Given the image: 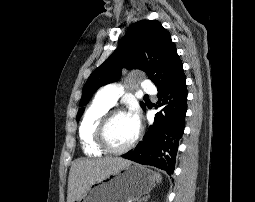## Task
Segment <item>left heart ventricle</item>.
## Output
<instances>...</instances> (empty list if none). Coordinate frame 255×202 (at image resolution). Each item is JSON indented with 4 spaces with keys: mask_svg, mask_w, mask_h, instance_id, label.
Instances as JSON below:
<instances>
[{
    "mask_svg": "<svg viewBox=\"0 0 255 202\" xmlns=\"http://www.w3.org/2000/svg\"><path fill=\"white\" fill-rule=\"evenodd\" d=\"M138 128L131 122L127 114L115 116L108 128V140L112 147L121 148L136 135Z\"/></svg>",
    "mask_w": 255,
    "mask_h": 202,
    "instance_id": "obj_1",
    "label": "left heart ventricle"
}]
</instances>
